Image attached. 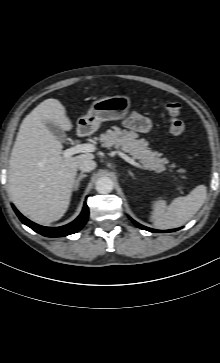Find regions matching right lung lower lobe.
Returning <instances> with one entry per match:
<instances>
[{
    "label": "right lung lower lobe",
    "instance_id": "98d812e1",
    "mask_svg": "<svg viewBox=\"0 0 220 363\" xmlns=\"http://www.w3.org/2000/svg\"><path fill=\"white\" fill-rule=\"evenodd\" d=\"M14 211L20 218V220L27 226H29L31 229L36 231L37 233L46 236V237H63L67 236L69 234H73L78 232L86 223L89 215V209L87 204H84L83 210L79 217L75 219L73 222L61 226V227H44L38 224H35L25 218L23 215L19 213V211L13 206Z\"/></svg>",
    "mask_w": 220,
    "mask_h": 363
}]
</instances>
